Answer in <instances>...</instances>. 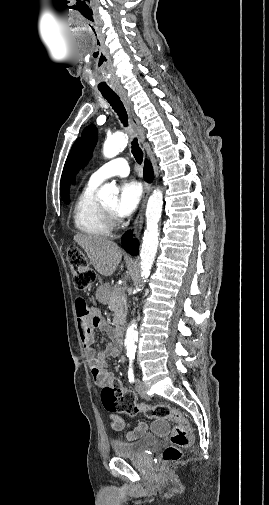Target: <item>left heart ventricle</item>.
Masks as SVG:
<instances>
[{
  "label": "left heart ventricle",
  "mask_w": 269,
  "mask_h": 505,
  "mask_svg": "<svg viewBox=\"0 0 269 505\" xmlns=\"http://www.w3.org/2000/svg\"><path fill=\"white\" fill-rule=\"evenodd\" d=\"M105 207H106V208H108L109 210L114 211V209H115V207H116V200H113V201H111V202L107 203V204L105 205Z\"/></svg>",
  "instance_id": "left-heart-ventricle-1"
}]
</instances>
